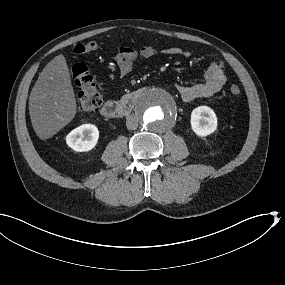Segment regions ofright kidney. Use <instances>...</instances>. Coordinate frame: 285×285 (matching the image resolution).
<instances>
[{"label":"right kidney","instance_id":"right-kidney-1","mask_svg":"<svg viewBox=\"0 0 285 285\" xmlns=\"http://www.w3.org/2000/svg\"><path fill=\"white\" fill-rule=\"evenodd\" d=\"M99 131L93 124H83L73 129L66 137V143L77 152L89 151L97 144Z\"/></svg>","mask_w":285,"mask_h":285}]
</instances>
